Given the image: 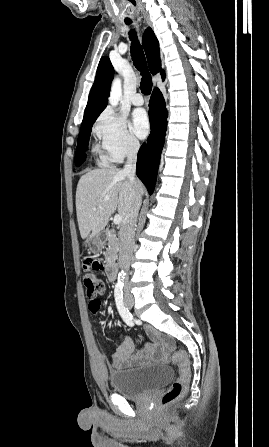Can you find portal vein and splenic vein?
Instances as JSON below:
<instances>
[{
  "label": "portal vein and splenic vein",
  "mask_w": 269,
  "mask_h": 447,
  "mask_svg": "<svg viewBox=\"0 0 269 447\" xmlns=\"http://www.w3.org/2000/svg\"><path fill=\"white\" fill-rule=\"evenodd\" d=\"M104 200H108V198H104ZM93 210H96V208H93ZM121 222L122 216H119V214H117V216H114L113 224H121Z\"/></svg>",
  "instance_id": "portal-vein-and-splenic-vein-1"
}]
</instances>
